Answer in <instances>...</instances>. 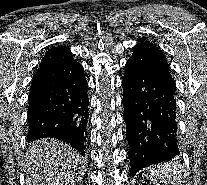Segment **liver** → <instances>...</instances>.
I'll use <instances>...</instances> for the list:
<instances>
[{
    "instance_id": "1",
    "label": "liver",
    "mask_w": 207,
    "mask_h": 185,
    "mask_svg": "<svg viewBox=\"0 0 207 185\" xmlns=\"http://www.w3.org/2000/svg\"><path fill=\"white\" fill-rule=\"evenodd\" d=\"M25 159L26 185H76L86 171L80 153L58 139L31 143Z\"/></svg>"
}]
</instances>
